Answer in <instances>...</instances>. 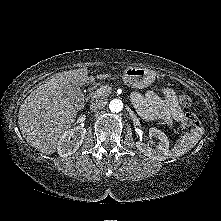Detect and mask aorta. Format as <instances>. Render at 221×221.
<instances>
[{"label": "aorta", "instance_id": "obj_1", "mask_svg": "<svg viewBox=\"0 0 221 221\" xmlns=\"http://www.w3.org/2000/svg\"><path fill=\"white\" fill-rule=\"evenodd\" d=\"M109 109L112 113H119L123 109V102L120 99H113L109 103Z\"/></svg>", "mask_w": 221, "mask_h": 221}]
</instances>
